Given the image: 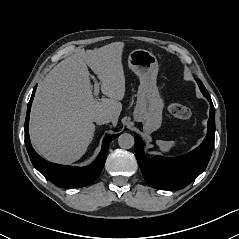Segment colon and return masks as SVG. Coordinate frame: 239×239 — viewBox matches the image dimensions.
<instances>
[{"label":"colon","mask_w":239,"mask_h":239,"mask_svg":"<svg viewBox=\"0 0 239 239\" xmlns=\"http://www.w3.org/2000/svg\"><path fill=\"white\" fill-rule=\"evenodd\" d=\"M168 110L174 117L181 120H190L192 116L190 109L181 104L171 103L168 105Z\"/></svg>","instance_id":"1"}]
</instances>
